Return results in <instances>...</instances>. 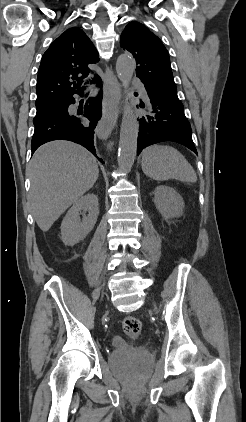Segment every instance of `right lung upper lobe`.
Wrapping results in <instances>:
<instances>
[{
	"label": "right lung upper lobe",
	"instance_id": "obj_1",
	"mask_svg": "<svg viewBox=\"0 0 246 422\" xmlns=\"http://www.w3.org/2000/svg\"><path fill=\"white\" fill-rule=\"evenodd\" d=\"M98 61V52L84 31L67 29L42 57L36 84V109L47 108L81 93L84 88L80 87L81 82L90 74L88 64Z\"/></svg>",
	"mask_w": 246,
	"mask_h": 422
}]
</instances>
